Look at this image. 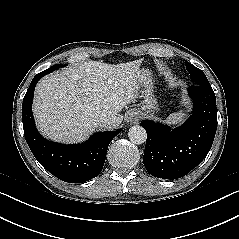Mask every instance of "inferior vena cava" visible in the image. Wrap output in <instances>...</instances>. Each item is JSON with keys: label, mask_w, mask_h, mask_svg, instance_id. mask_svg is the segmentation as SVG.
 <instances>
[{"label": "inferior vena cava", "mask_w": 239, "mask_h": 239, "mask_svg": "<svg viewBox=\"0 0 239 239\" xmlns=\"http://www.w3.org/2000/svg\"><path fill=\"white\" fill-rule=\"evenodd\" d=\"M97 123L99 126H106L111 123V118L108 116H99L97 119Z\"/></svg>", "instance_id": "1"}]
</instances>
